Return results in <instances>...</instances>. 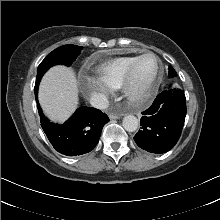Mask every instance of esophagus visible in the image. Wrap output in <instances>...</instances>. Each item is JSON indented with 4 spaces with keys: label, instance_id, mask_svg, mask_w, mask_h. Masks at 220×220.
I'll use <instances>...</instances> for the list:
<instances>
[{
    "label": "esophagus",
    "instance_id": "esophagus-1",
    "mask_svg": "<svg viewBox=\"0 0 220 220\" xmlns=\"http://www.w3.org/2000/svg\"><path fill=\"white\" fill-rule=\"evenodd\" d=\"M121 116V114L109 113V118L111 120L119 119Z\"/></svg>",
    "mask_w": 220,
    "mask_h": 220
}]
</instances>
